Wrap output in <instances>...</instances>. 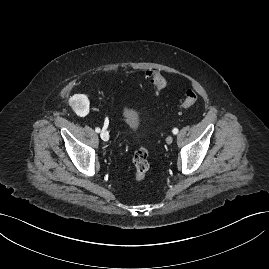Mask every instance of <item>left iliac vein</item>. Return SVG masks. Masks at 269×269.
<instances>
[{
  "instance_id": "4c4485c4",
  "label": "left iliac vein",
  "mask_w": 269,
  "mask_h": 269,
  "mask_svg": "<svg viewBox=\"0 0 269 269\" xmlns=\"http://www.w3.org/2000/svg\"><path fill=\"white\" fill-rule=\"evenodd\" d=\"M173 142V138L171 137V136H168L167 138H166V143L167 144H171Z\"/></svg>"
}]
</instances>
